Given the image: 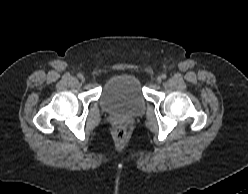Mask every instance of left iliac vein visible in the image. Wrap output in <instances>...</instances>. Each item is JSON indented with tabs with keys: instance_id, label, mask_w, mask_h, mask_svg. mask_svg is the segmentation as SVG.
I'll return each instance as SVG.
<instances>
[{
	"instance_id": "4c4485c4",
	"label": "left iliac vein",
	"mask_w": 248,
	"mask_h": 194,
	"mask_svg": "<svg viewBox=\"0 0 248 194\" xmlns=\"http://www.w3.org/2000/svg\"><path fill=\"white\" fill-rule=\"evenodd\" d=\"M157 82H158V83H161V82H162V77L159 76V77L157 78Z\"/></svg>"
}]
</instances>
